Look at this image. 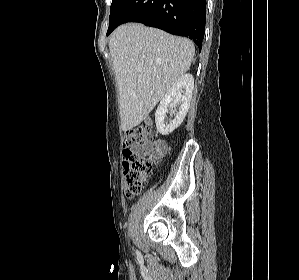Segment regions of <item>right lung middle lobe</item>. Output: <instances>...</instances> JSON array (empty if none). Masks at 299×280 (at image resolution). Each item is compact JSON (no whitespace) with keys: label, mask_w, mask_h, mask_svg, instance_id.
<instances>
[{"label":"right lung middle lobe","mask_w":299,"mask_h":280,"mask_svg":"<svg viewBox=\"0 0 299 280\" xmlns=\"http://www.w3.org/2000/svg\"><path fill=\"white\" fill-rule=\"evenodd\" d=\"M126 2V0H112L111 8H110V16H109V28L108 30L112 27L113 21L118 14L119 10L123 6V4Z\"/></svg>","instance_id":"obj_1"}]
</instances>
